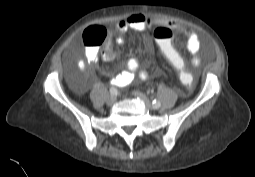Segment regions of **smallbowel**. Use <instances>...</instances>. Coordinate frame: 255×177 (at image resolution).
Returning <instances> with one entry per match:
<instances>
[{"mask_svg":"<svg viewBox=\"0 0 255 177\" xmlns=\"http://www.w3.org/2000/svg\"><path fill=\"white\" fill-rule=\"evenodd\" d=\"M163 25L171 30L178 31L186 40V48L188 53L193 58V63L196 65L199 61L200 40L197 34L189 27L180 25L176 22L169 20L157 19L147 15L133 14L129 17L119 20L116 24L117 30L120 34L115 38V42L119 45L125 42L124 33L128 30H134L138 32L145 31L151 27ZM146 49H153V44L147 43ZM114 49L111 40H108L102 51V58L110 61L114 57ZM99 57V51L97 48H88L86 51V60L90 63L96 62ZM78 68L81 71L87 70V64L84 59H78ZM149 78L147 71L141 69L140 62L136 58H130L126 62V68L119 74L113 77L112 84L118 87H124L132 83L143 82Z\"/></svg>","mask_w":255,"mask_h":177,"instance_id":"c3829d8e","label":"small bowel"}]
</instances>
